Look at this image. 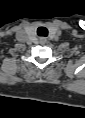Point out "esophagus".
I'll list each match as a JSON object with an SVG mask.
<instances>
[{
    "instance_id": "obj_1",
    "label": "esophagus",
    "mask_w": 85,
    "mask_h": 118,
    "mask_svg": "<svg viewBox=\"0 0 85 118\" xmlns=\"http://www.w3.org/2000/svg\"><path fill=\"white\" fill-rule=\"evenodd\" d=\"M46 41H47L46 38H41V39H40V43H41V44H45Z\"/></svg>"
}]
</instances>
